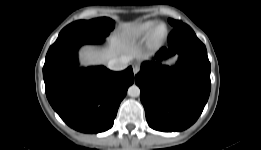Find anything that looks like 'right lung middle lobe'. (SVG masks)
I'll return each mask as SVG.
<instances>
[{
    "label": "right lung middle lobe",
    "instance_id": "1",
    "mask_svg": "<svg viewBox=\"0 0 261 150\" xmlns=\"http://www.w3.org/2000/svg\"><path fill=\"white\" fill-rule=\"evenodd\" d=\"M114 28V21L102 17L92 20H79L66 26L59 34V37L66 35H85L93 37H106Z\"/></svg>",
    "mask_w": 261,
    "mask_h": 150
}]
</instances>
